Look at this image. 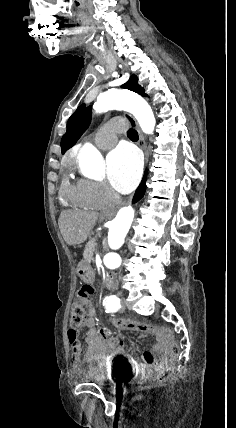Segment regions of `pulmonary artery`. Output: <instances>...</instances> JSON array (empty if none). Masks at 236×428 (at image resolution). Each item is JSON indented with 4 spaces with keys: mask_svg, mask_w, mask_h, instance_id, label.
I'll use <instances>...</instances> for the list:
<instances>
[{
    "mask_svg": "<svg viewBox=\"0 0 236 428\" xmlns=\"http://www.w3.org/2000/svg\"><path fill=\"white\" fill-rule=\"evenodd\" d=\"M97 146L100 148V149H103V150H108V149H110V148H112V147H114L115 146V143H108V142H99L98 144H97Z\"/></svg>",
    "mask_w": 236,
    "mask_h": 428,
    "instance_id": "pulmonary-artery-1",
    "label": "pulmonary artery"
}]
</instances>
